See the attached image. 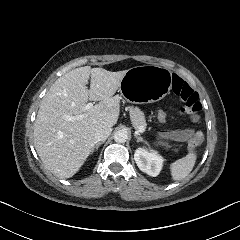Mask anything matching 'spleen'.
<instances>
[{
	"label": "spleen",
	"mask_w": 240,
	"mask_h": 240,
	"mask_svg": "<svg viewBox=\"0 0 240 240\" xmlns=\"http://www.w3.org/2000/svg\"><path fill=\"white\" fill-rule=\"evenodd\" d=\"M195 163V156L190 154L183 159L178 160L173 165V177L180 180L189 175Z\"/></svg>",
	"instance_id": "obj_1"
}]
</instances>
